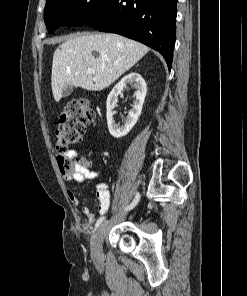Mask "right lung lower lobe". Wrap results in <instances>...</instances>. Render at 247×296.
Listing matches in <instances>:
<instances>
[{
    "label": "right lung lower lobe",
    "mask_w": 247,
    "mask_h": 296,
    "mask_svg": "<svg viewBox=\"0 0 247 296\" xmlns=\"http://www.w3.org/2000/svg\"><path fill=\"white\" fill-rule=\"evenodd\" d=\"M176 5L177 0H107L103 11L87 24L157 50L171 68L176 36Z\"/></svg>",
    "instance_id": "obj_1"
}]
</instances>
